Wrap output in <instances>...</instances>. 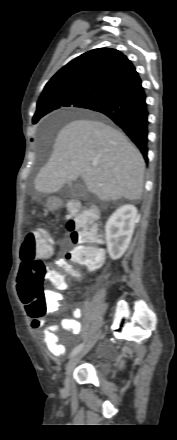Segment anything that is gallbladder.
I'll return each instance as SVG.
<instances>
[{
  "label": "gallbladder",
  "mask_w": 177,
  "mask_h": 440,
  "mask_svg": "<svg viewBox=\"0 0 177 440\" xmlns=\"http://www.w3.org/2000/svg\"><path fill=\"white\" fill-rule=\"evenodd\" d=\"M71 186V194L73 196H81L85 191H86V187L84 184H70Z\"/></svg>",
  "instance_id": "1"
}]
</instances>
